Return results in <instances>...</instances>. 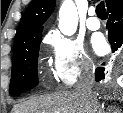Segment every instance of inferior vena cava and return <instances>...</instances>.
Here are the masks:
<instances>
[{
    "label": "inferior vena cava",
    "mask_w": 123,
    "mask_h": 113,
    "mask_svg": "<svg viewBox=\"0 0 123 113\" xmlns=\"http://www.w3.org/2000/svg\"><path fill=\"white\" fill-rule=\"evenodd\" d=\"M94 84V65L92 63L85 66L81 75L79 76L76 92L84 100L88 107L87 113H100L97 112L98 102L95 93L93 92Z\"/></svg>",
    "instance_id": "obj_1"
}]
</instances>
